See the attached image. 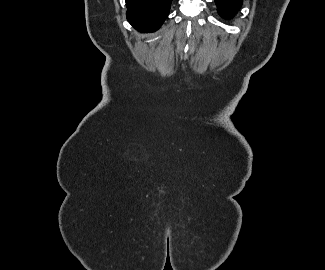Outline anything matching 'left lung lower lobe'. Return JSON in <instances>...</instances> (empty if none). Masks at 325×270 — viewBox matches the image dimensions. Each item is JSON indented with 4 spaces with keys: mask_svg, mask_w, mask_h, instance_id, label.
<instances>
[{
    "mask_svg": "<svg viewBox=\"0 0 325 270\" xmlns=\"http://www.w3.org/2000/svg\"><path fill=\"white\" fill-rule=\"evenodd\" d=\"M218 13L224 18H232L239 10L242 0H215Z\"/></svg>",
    "mask_w": 325,
    "mask_h": 270,
    "instance_id": "left-lung-lower-lobe-1",
    "label": "left lung lower lobe"
}]
</instances>
